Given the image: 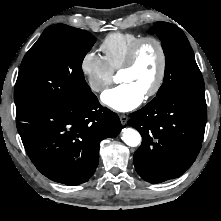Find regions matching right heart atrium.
Segmentation results:
<instances>
[{
    "label": "right heart atrium",
    "mask_w": 221,
    "mask_h": 221,
    "mask_svg": "<svg viewBox=\"0 0 221 221\" xmlns=\"http://www.w3.org/2000/svg\"><path fill=\"white\" fill-rule=\"evenodd\" d=\"M80 70L88 87L95 93L103 92L114 79L106 60L95 50H89L82 56Z\"/></svg>",
    "instance_id": "obj_1"
}]
</instances>
